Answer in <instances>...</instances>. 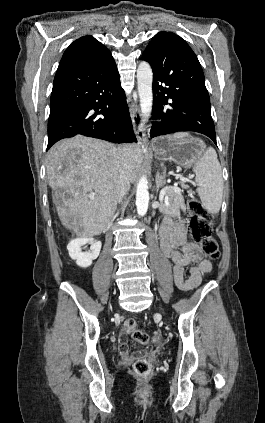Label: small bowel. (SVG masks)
<instances>
[{
  "label": "small bowel",
  "instance_id": "c3829d8e",
  "mask_svg": "<svg viewBox=\"0 0 265 423\" xmlns=\"http://www.w3.org/2000/svg\"><path fill=\"white\" fill-rule=\"evenodd\" d=\"M158 235L162 251L172 263L176 286L184 291L199 286L203 275L210 272L211 263L202 255L198 246L189 240L184 225L174 223L170 217H165L159 227ZM190 263L196 265L191 267L189 277L186 278L185 267ZM118 349L124 359L132 358L125 331L120 332L118 336Z\"/></svg>",
  "mask_w": 265,
  "mask_h": 423
}]
</instances>
